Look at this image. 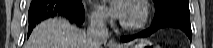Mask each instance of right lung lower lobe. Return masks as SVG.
<instances>
[{
    "label": "right lung lower lobe",
    "instance_id": "right-lung-lower-lobe-1",
    "mask_svg": "<svg viewBox=\"0 0 213 48\" xmlns=\"http://www.w3.org/2000/svg\"><path fill=\"white\" fill-rule=\"evenodd\" d=\"M62 16L78 25L84 21L85 13L82 0H32L28 12V36L41 21Z\"/></svg>",
    "mask_w": 213,
    "mask_h": 48
}]
</instances>
